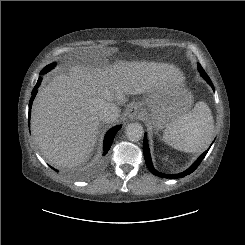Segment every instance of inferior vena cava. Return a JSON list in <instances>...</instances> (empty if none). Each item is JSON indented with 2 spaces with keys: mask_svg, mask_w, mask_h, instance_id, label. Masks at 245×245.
<instances>
[{
  "mask_svg": "<svg viewBox=\"0 0 245 245\" xmlns=\"http://www.w3.org/2000/svg\"><path fill=\"white\" fill-rule=\"evenodd\" d=\"M99 118L106 123L114 122L119 116V109L114 103L101 100L97 105Z\"/></svg>",
  "mask_w": 245,
  "mask_h": 245,
  "instance_id": "1",
  "label": "inferior vena cava"
}]
</instances>
